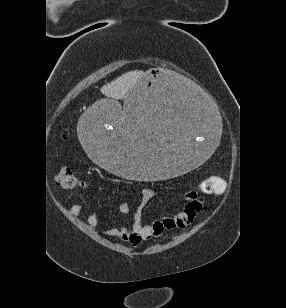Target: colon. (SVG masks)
<instances>
[{"label":"colon","mask_w":286,"mask_h":308,"mask_svg":"<svg viewBox=\"0 0 286 308\" xmlns=\"http://www.w3.org/2000/svg\"><path fill=\"white\" fill-rule=\"evenodd\" d=\"M56 183L63 189H77L82 186L76 174L66 166H61L55 177ZM226 182L220 177H210L203 181L201 190L206 194L222 193L226 189Z\"/></svg>","instance_id":"colon-1"}]
</instances>
